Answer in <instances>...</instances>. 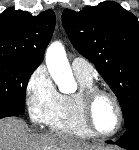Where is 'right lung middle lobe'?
<instances>
[{
	"instance_id": "obj_1",
	"label": "right lung middle lobe",
	"mask_w": 139,
	"mask_h": 150,
	"mask_svg": "<svg viewBox=\"0 0 139 150\" xmlns=\"http://www.w3.org/2000/svg\"><path fill=\"white\" fill-rule=\"evenodd\" d=\"M38 66L0 59V111L25 112V91L31 74Z\"/></svg>"
}]
</instances>
